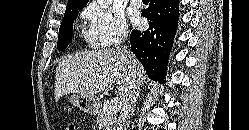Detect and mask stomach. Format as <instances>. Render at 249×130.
<instances>
[{"label": "stomach", "mask_w": 249, "mask_h": 130, "mask_svg": "<svg viewBox=\"0 0 249 130\" xmlns=\"http://www.w3.org/2000/svg\"><path fill=\"white\" fill-rule=\"evenodd\" d=\"M68 102L78 107L79 110L89 114H95L99 109V100L96 96L86 94H74L67 96Z\"/></svg>", "instance_id": "obj_1"}]
</instances>
